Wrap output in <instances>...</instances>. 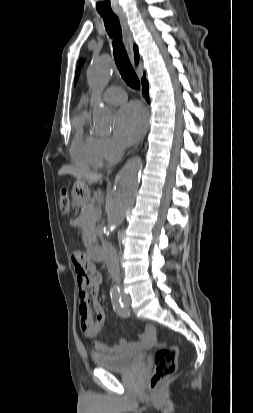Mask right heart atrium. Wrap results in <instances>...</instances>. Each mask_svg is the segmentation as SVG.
<instances>
[{"mask_svg":"<svg viewBox=\"0 0 253 413\" xmlns=\"http://www.w3.org/2000/svg\"><path fill=\"white\" fill-rule=\"evenodd\" d=\"M99 147L104 160L115 161L121 154V147L111 138L103 137L99 139Z\"/></svg>","mask_w":253,"mask_h":413,"instance_id":"right-heart-atrium-1","label":"right heart atrium"}]
</instances>
